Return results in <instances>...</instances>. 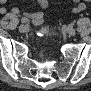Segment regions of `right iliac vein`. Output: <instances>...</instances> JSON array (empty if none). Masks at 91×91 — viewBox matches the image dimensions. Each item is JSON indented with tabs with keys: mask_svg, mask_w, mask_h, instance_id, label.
<instances>
[{
	"mask_svg": "<svg viewBox=\"0 0 91 91\" xmlns=\"http://www.w3.org/2000/svg\"><path fill=\"white\" fill-rule=\"evenodd\" d=\"M19 31H20L21 33L26 32V31H27V26H26V25H21V26L19 27Z\"/></svg>",
	"mask_w": 91,
	"mask_h": 91,
	"instance_id": "obj_1",
	"label": "right iliac vein"
}]
</instances>
